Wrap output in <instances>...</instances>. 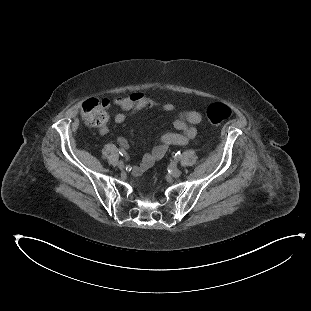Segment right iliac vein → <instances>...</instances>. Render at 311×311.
Segmentation results:
<instances>
[{
	"label": "right iliac vein",
	"instance_id": "right-iliac-vein-1",
	"mask_svg": "<svg viewBox=\"0 0 311 311\" xmlns=\"http://www.w3.org/2000/svg\"><path fill=\"white\" fill-rule=\"evenodd\" d=\"M117 165H118V168L121 170L124 169V167H125V164L123 161H119Z\"/></svg>",
	"mask_w": 311,
	"mask_h": 311
}]
</instances>
